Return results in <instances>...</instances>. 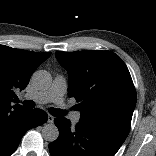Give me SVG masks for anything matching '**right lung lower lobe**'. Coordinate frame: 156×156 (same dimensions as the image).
Returning <instances> with one entry per match:
<instances>
[{
	"instance_id": "98d812e1",
	"label": "right lung lower lobe",
	"mask_w": 156,
	"mask_h": 156,
	"mask_svg": "<svg viewBox=\"0 0 156 156\" xmlns=\"http://www.w3.org/2000/svg\"><path fill=\"white\" fill-rule=\"evenodd\" d=\"M47 119V113L41 109L0 110V156H10L26 131L42 125Z\"/></svg>"
}]
</instances>
